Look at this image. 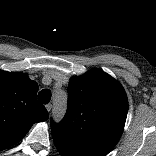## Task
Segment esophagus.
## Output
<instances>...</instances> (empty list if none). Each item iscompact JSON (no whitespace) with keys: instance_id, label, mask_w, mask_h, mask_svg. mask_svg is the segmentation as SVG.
Instances as JSON below:
<instances>
[{"instance_id":"obj_1","label":"esophagus","mask_w":156,"mask_h":156,"mask_svg":"<svg viewBox=\"0 0 156 156\" xmlns=\"http://www.w3.org/2000/svg\"><path fill=\"white\" fill-rule=\"evenodd\" d=\"M46 109H47L48 112H50L51 109H52V104H47L46 105Z\"/></svg>"}]
</instances>
